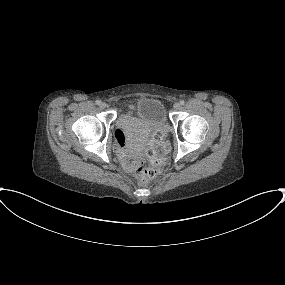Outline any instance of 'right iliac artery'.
Returning <instances> with one entry per match:
<instances>
[{
    "label": "right iliac artery",
    "mask_w": 285,
    "mask_h": 285,
    "mask_svg": "<svg viewBox=\"0 0 285 285\" xmlns=\"http://www.w3.org/2000/svg\"><path fill=\"white\" fill-rule=\"evenodd\" d=\"M100 103H101L100 100H97V101H96V104H97V105H100Z\"/></svg>",
    "instance_id": "right-iliac-artery-1"
}]
</instances>
